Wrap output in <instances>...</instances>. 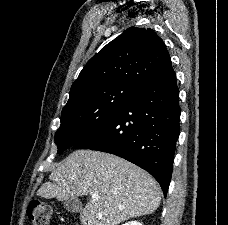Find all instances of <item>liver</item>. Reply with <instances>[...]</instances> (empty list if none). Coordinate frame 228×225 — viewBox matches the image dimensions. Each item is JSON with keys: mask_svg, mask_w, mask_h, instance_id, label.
<instances>
[{"mask_svg": "<svg viewBox=\"0 0 228 225\" xmlns=\"http://www.w3.org/2000/svg\"><path fill=\"white\" fill-rule=\"evenodd\" d=\"M44 183L38 197L68 201L98 195L82 209L81 225H119L134 217L152 215L161 201V189L146 171L100 151L79 149L66 157Z\"/></svg>", "mask_w": 228, "mask_h": 225, "instance_id": "6515ba94", "label": "liver"}]
</instances>
